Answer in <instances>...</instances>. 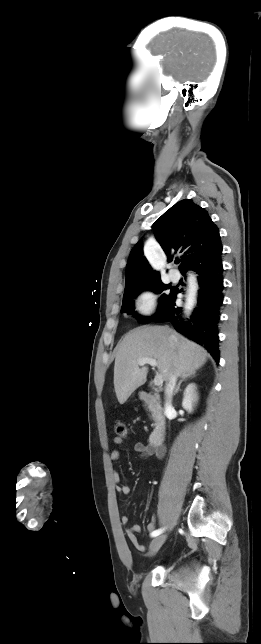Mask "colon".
<instances>
[{
    "mask_svg": "<svg viewBox=\"0 0 261 644\" xmlns=\"http://www.w3.org/2000/svg\"><path fill=\"white\" fill-rule=\"evenodd\" d=\"M115 434L117 437L123 439L128 436V427L124 421H118L115 424Z\"/></svg>",
    "mask_w": 261,
    "mask_h": 644,
    "instance_id": "1",
    "label": "colon"
}]
</instances>
